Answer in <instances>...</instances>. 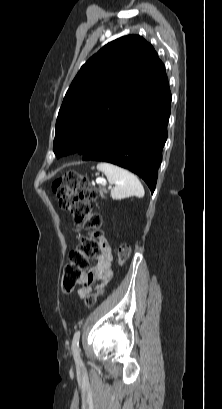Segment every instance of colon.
Segmentation results:
<instances>
[{"mask_svg": "<svg viewBox=\"0 0 222 409\" xmlns=\"http://www.w3.org/2000/svg\"><path fill=\"white\" fill-rule=\"evenodd\" d=\"M52 191L59 206L69 211L89 231L77 248L70 253L69 262L64 268L61 287L64 292L70 293L79 284L78 280L82 278L81 275L88 267L90 258L95 256L99 249L101 218L92 212L91 207V203L97 198V191L88 178L75 171H68L56 178L52 183ZM117 255L118 262L122 265L130 255V247L125 243L120 244ZM102 293L103 291H99L87 295L86 306L92 307Z\"/></svg>", "mask_w": 222, "mask_h": 409, "instance_id": "5ec220e1", "label": "colon"}]
</instances>
